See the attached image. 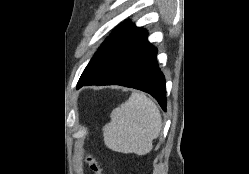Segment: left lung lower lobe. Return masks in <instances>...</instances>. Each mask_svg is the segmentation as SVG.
<instances>
[{"label":"left lung lower lobe","mask_w":249,"mask_h":174,"mask_svg":"<svg viewBox=\"0 0 249 174\" xmlns=\"http://www.w3.org/2000/svg\"><path fill=\"white\" fill-rule=\"evenodd\" d=\"M157 50L147 40L142 29L126 41L109 62L90 78L80 79L84 85H121L142 90L152 95L166 110V85L156 61Z\"/></svg>","instance_id":"1"}]
</instances>
